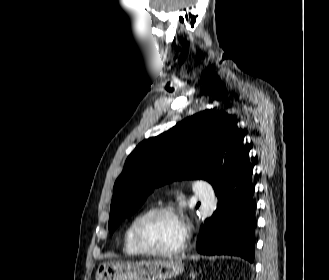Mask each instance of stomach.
I'll list each match as a JSON object with an SVG mask.
<instances>
[{
  "mask_svg": "<svg viewBox=\"0 0 329 280\" xmlns=\"http://www.w3.org/2000/svg\"><path fill=\"white\" fill-rule=\"evenodd\" d=\"M181 259L165 261H110L99 265L96 280H167L184 272Z\"/></svg>",
  "mask_w": 329,
  "mask_h": 280,
  "instance_id": "obj_1",
  "label": "stomach"
}]
</instances>
